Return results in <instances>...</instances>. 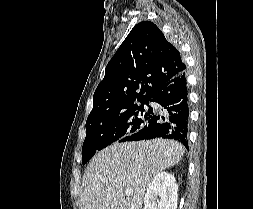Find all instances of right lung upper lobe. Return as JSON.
<instances>
[{
    "label": "right lung upper lobe",
    "instance_id": "1",
    "mask_svg": "<svg viewBox=\"0 0 253 209\" xmlns=\"http://www.w3.org/2000/svg\"><path fill=\"white\" fill-rule=\"evenodd\" d=\"M185 69L180 52L154 23L137 24L107 64L88 118L149 103L169 80Z\"/></svg>",
    "mask_w": 253,
    "mask_h": 209
}]
</instances>
